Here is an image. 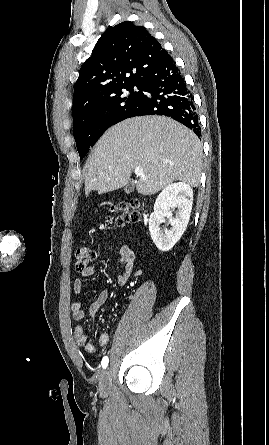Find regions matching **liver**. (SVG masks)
I'll list each match as a JSON object with an SVG mask.
<instances>
[{"label":"liver","instance_id":"6515ba94","mask_svg":"<svg viewBox=\"0 0 269 445\" xmlns=\"http://www.w3.org/2000/svg\"><path fill=\"white\" fill-rule=\"evenodd\" d=\"M202 145L188 128L164 116L126 119L98 140L86 163L85 195L111 192L127 185L133 169L144 170L138 193L152 195L173 181L198 187Z\"/></svg>","mask_w":269,"mask_h":445}]
</instances>
